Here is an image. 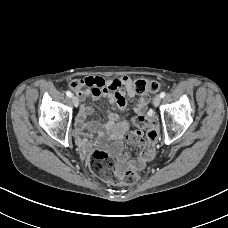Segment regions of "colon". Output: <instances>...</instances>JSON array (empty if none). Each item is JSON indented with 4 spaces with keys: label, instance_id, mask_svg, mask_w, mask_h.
I'll return each instance as SVG.
<instances>
[{
    "label": "colon",
    "instance_id": "colon-1",
    "mask_svg": "<svg viewBox=\"0 0 228 228\" xmlns=\"http://www.w3.org/2000/svg\"><path fill=\"white\" fill-rule=\"evenodd\" d=\"M71 87L77 89L80 87L79 81L71 83ZM135 91L139 95L155 93L159 89V84L152 80L139 79L134 82ZM133 123L140 127L146 128V145L138 156V160L149 161L155 155L156 145L159 139V128L155 120L145 115L135 116ZM89 166L91 171L106 182L117 185H133L139 179L136 170L131 169L123 174L116 170L113 158L105 151L95 149L89 156Z\"/></svg>",
    "mask_w": 228,
    "mask_h": 228
}]
</instances>
